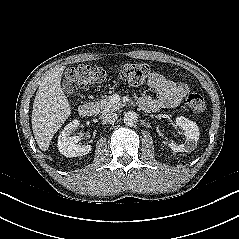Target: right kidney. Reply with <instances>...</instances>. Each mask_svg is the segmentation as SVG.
I'll return each mask as SVG.
<instances>
[{"label": "right kidney", "instance_id": "ca27d5eb", "mask_svg": "<svg viewBox=\"0 0 239 239\" xmlns=\"http://www.w3.org/2000/svg\"><path fill=\"white\" fill-rule=\"evenodd\" d=\"M79 126L78 120H73L68 123L58 137V149L66 157H79L88 154L91 151V146H80L78 141L79 136H70L72 131Z\"/></svg>", "mask_w": 239, "mask_h": 239}]
</instances>
